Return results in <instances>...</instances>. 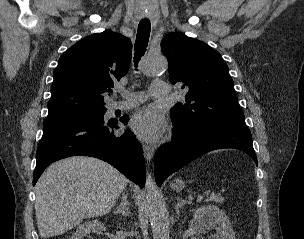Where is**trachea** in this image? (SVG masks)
Masks as SVG:
<instances>
[{
	"mask_svg": "<svg viewBox=\"0 0 304 239\" xmlns=\"http://www.w3.org/2000/svg\"><path fill=\"white\" fill-rule=\"evenodd\" d=\"M151 31V24L150 21L145 19L139 23L137 35H136V42H135V53H134V63L135 67L140 60V58L144 55Z\"/></svg>",
	"mask_w": 304,
	"mask_h": 239,
	"instance_id": "trachea-1",
	"label": "trachea"
}]
</instances>
